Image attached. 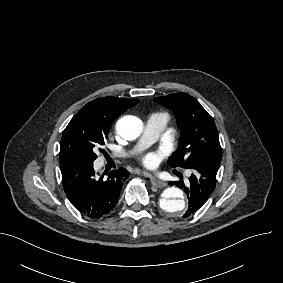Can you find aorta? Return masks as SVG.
Instances as JSON below:
<instances>
[{"instance_id":"obj_1","label":"aorta","mask_w":283,"mask_h":283,"mask_svg":"<svg viewBox=\"0 0 283 283\" xmlns=\"http://www.w3.org/2000/svg\"><path fill=\"white\" fill-rule=\"evenodd\" d=\"M142 130V121L134 116H124L116 123V132L126 140H135ZM159 203L162 210L175 216L182 215L186 208L184 193L177 187L165 189Z\"/></svg>"}]
</instances>
